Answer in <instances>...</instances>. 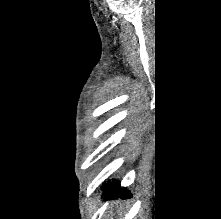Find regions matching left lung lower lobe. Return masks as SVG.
<instances>
[{
	"instance_id": "0a47b994",
	"label": "left lung lower lobe",
	"mask_w": 221,
	"mask_h": 219,
	"mask_svg": "<svg viewBox=\"0 0 221 219\" xmlns=\"http://www.w3.org/2000/svg\"><path fill=\"white\" fill-rule=\"evenodd\" d=\"M129 196V193L126 192V188H121L119 183H113L112 185L109 186L108 188V192H106V199L109 198H117V197H121V198H126Z\"/></svg>"
}]
</instances>
